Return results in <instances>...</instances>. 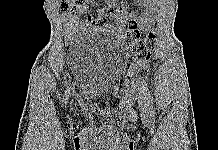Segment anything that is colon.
Listing matches in <instances>:
<instances>
[{
    "label": "colon",
    "instance_id": "colon-1",
    "mask_svg": "<svg viewBox=\"0 0 218 150\" xmlns=\"http://www.w3.org/2000/svg\"><path fill=\"white\" fill-rule=\"evenodd\" d=\"M83 2L84 0H65L62 3V9L64 11L73 12L76 7ZM156 38V30H151L145 37H142L139 30L133 29L127 33L125 39L134 51L137 59L140 62H146L150 58V54L156 46Z\"/></svg>",
    "mask_w": 218,
    "mask_h": 150
}]
</instances>
